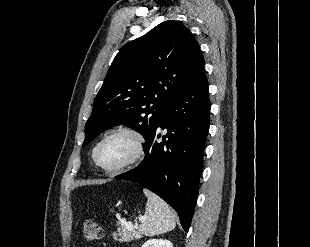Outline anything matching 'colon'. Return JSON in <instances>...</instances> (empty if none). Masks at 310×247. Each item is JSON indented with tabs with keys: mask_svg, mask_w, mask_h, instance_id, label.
Instances as JSON below:
<instances>
[{
	"mask_svg": "<svg viewBox=\"0 0 310 247\" xmlns=\"http://www.w3.org/2000/svg\"><path fill=\"white\" fill-rule=\"evenodd\" d=\"M83 234L87 241L93 242L102 237L103 231L97 222L88 219L85 221Z\"/></svg>",
	"mask_w": 310,
	"mask_h": 247,
	"instance_id": "obj_1",
	"label": "colon"
}]
</instances>
